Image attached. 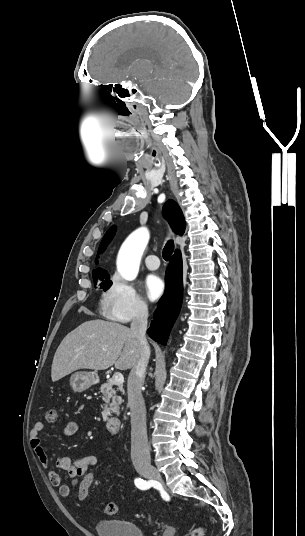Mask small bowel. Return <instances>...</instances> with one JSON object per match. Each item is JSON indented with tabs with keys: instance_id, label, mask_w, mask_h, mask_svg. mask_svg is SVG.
Here are the masks:
<instances>
[{
	"instance_id": "small-bowel-1",
	"label": "small bowel",
	"mask_w": 305,
	"mask_h": 536,
	"mask_svg": "<svg viewBox=\"0 0 305 536\" xmlns=\"http://www.w3.org/2000/svg\"><path fill=\"white\" fill-rule=\"evenodd\" d=\"M44 427H32L30 431V445L37 456L41 465L45 468L48 479L53 486L59 487V493L63 497H68L71 494L72 486H77L78 489L86 478L87 469L93 468L97 459L95 456L88 455L80 458L59 457L55 461V467L49 465L48 456L41 444L40 434ZM78 430L76 422H69L64 428L65 436H72ZM59 471L65 472L71 479L70 484H62Z\"/></svg>"
}]
</instances>
